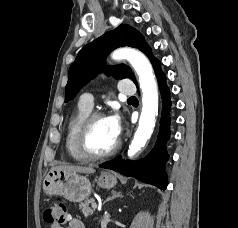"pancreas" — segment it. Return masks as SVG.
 <instances>
[{"mask_svg": "<svg viewBox=\"0 0 238 228\" xmlns=\"http://www.w3.org/2000/svg\"><path fill=\"white\" fill-rule=\"evenodd\" d=\"M93 202H95L94 199L90 198L79 204V208L82 210L85 217L91 216L93 214V210L89 206V204Z\"/></svg>", "mask_w": 238, "mask_h": 228, "instance_id": "1", "label": "pancreas"}]
</instances>
